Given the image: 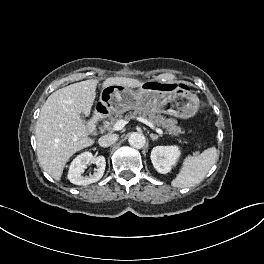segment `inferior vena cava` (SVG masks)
Masks as SVG:
<instances>
[{
  "label": "inferior vena cava",
  "instance_id": "602c4592",
  "mask_svg": "<svg viewBox=\"0 0 264 264\" xmlns=\"http://www.w3.org/2000/svg\"><path fill=\"white\" fill-rule=\"evenodd\" d=\"M118 140L117 135L114 134H107L101 136L98 140V143L101 147H108L114 144Z\"/></svg>",
  "mask_w": 264,
  "mask_h": 264
}]
</instances>
